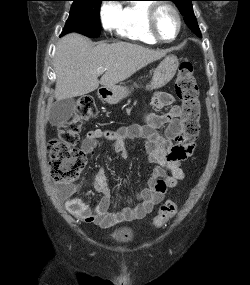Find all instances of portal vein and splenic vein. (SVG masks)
Returning <instances> with one entry per match:
<instances>
[{"mask_svg": "<svg viewBox=\"0 0 250 285\" xmlns=\"http://www.w3.org/2000/svg\"><path fill=\"white\" fill-rule=\"evenodd\" d=\"M105 71H106V69H100V70L97 72V74H98V75H101V74H103Z\"/></svg>", "mask_w": 250, "mask_h": 285, "instance_id": "obj_1", "label": "portal vein and splenic vein"}]
</instances>
